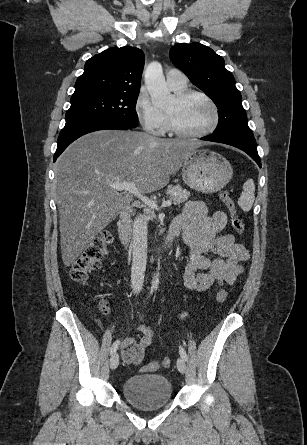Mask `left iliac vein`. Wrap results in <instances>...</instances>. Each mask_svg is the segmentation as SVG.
I'll list each match as a JSON object with an SVG mask.
<instances>
[{
  "mask_svg": "<svg viewBox=\"0 0 307 445\" xmlns=\"http://www.w3.org/2000/svg\"><path fill=\"white\" fill-rule=\"evenodd\" d=\"M177 368H178L179 372L182 374H184L186 372V363L182 357L177 359Z\"/></svg>",
  "mask_w": 307,
  "mask_h": 445,
  "instance_id": "4c4485c4",
  "label": "left iliac vein"
}]
</instances>
